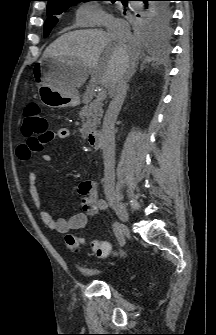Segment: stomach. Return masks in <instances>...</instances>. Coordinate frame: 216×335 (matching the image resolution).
<instances>
[{
	"instance_id": "0dacf381",
	"label": "stomach",
	"mask_w": 216,
	"mask_h": 335,
	"mask_svg": "<svg viewBox=\"0 0 216 335\" xmlns=\"http://www.w3.org/2000/svg\"><path fill=\"white\" fill-rule=\"evenodd\" d=\"M74 60L52 57L41 59L33 68L35 80L39 83L41 102L51 108L74 107L80 103L78 93L68 89L65 76L73 67Z\"/></svg>"
}]
</instances>
